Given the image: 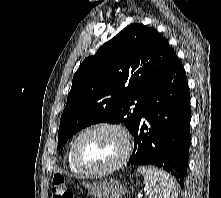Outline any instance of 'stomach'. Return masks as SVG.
Wrapping results in <instances>:
<instances>
[{"label":"stomach","instance_id":"stomach-1","mask_svg":"<svg viewBox=\"0 0 221 198\" xmlns=\"http://www.w3.org/2000/svg\"><path fill=\"white\" fill-rule=\"evenodd\" d=\"M87 189L94 198H123L126 193H129L125 185L114 179L89 183Z\"/></svg>","mask_w":221,"mask_h":198}]
</instances>
